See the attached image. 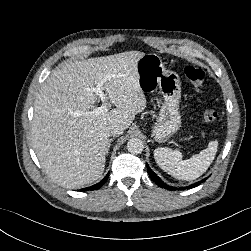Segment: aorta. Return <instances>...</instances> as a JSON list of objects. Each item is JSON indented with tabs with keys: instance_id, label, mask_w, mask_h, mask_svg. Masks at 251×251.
Wrapping results in <instances>:
<instances>
[{
	"instance_id": "aorta-1",
	"label": "aorta",
	"mask_w": 251,
	"mask_h": 251,
	"mask_svg": "<svg viewBox=\"0 0 251 251\" xmlns=\"http://www.w3.org/2000/svg\"><path fill=\"white\" fill-rule=\"evenodd\" d=\"M127 150L132 154H140L144 150V143L139 138H131L127 142Z\"/></svg>"
}]
</instances>
